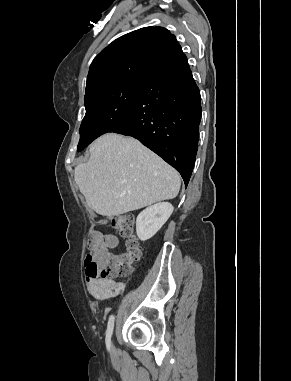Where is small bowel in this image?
Instances as JSON below:
<instances>
[{
  "instance_id": "small-bowel-1",
  "label": "small bowel",
  "mask_w": 291,
  "mask_h": 381,
  "mask_svg": "<svg viewBox=\"0 0 291 381\" xmlns=\"http://www.w3.org/2000/svg\"><path fill=\"white\" fill-rule=\"evenodd\" d=\"M91 237L93 241L92 245L95 248L108 250L118 245L117 237L104 234L100 231H93ZM85 281L89 293L99 300L115 297L125 288L123 282L116 281L112 278L87 277Z\"/></svg>"
}]
</instances>
